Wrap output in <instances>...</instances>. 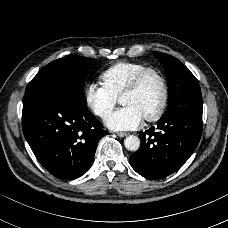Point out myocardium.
I'll list each match as a JSON object with an SVG mask.
<instances>
[{"label": "myocardium", "instance_id": "1", "mask_svg": "<svg viewBox=\"0 0 228 228\" xmlns=\"http://www.w3.org/2000/svg\"><path fill=\"white\" fill-rule=\"evenodd\" d=\"M150 74H154L155 76H157L161 81L163 87V100L160 107L155 113L144 117L146 121L153 122L159 120L164 115L169 103V86L165 76L162 74L160 70L154 67H148L140 71L123 91L121 98L127 94L137 91L141 86L143 80Z\"/></svg>", "mask_w": 228, "mask_h": 228}]
</instances>
